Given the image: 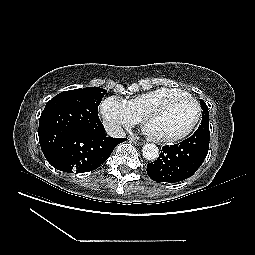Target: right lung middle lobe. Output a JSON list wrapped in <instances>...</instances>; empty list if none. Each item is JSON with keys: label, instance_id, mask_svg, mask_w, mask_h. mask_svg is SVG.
<instances>
[{"label": "right lung middle lobe", "instance_id": "obj_1", "mask_svg": "<svg viewBox=\"0 0 255 255\" xmlns=\"http://www.w3.org/2000/svg\"><path fill=\"white\" fill-rule=\"evenodd\" d=\"M105 93L103 88L86 87L61 92L48 101L39 119L43 153L73 131L100 132L104 126L98 117V106Z\"/></svg>", "mask_w": 255, "mask_h": 255}]
</instances>
